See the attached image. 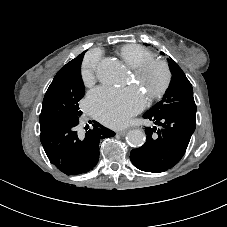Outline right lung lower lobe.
I'll list each match as a JSON object with an SVG mask.
<instances>
[{"label": "right lung lower lobe", "instance_id": "98d812e1", "mask_svg": "<svg viewBox=\"0 0 227 227\" xmlns=\"http://www.w3.org/2000/svg\"><path fill=\"white\" fill-rule=\"evenodd\" d=\"M79 122H59L41 131L40 140L50 160L61 172L78 175L92 170L99 160V143L115 133L94 121L84 138L77 135Z\"/></svg>", "mask_w": 227, "mask_h": 227}]
</instances>
